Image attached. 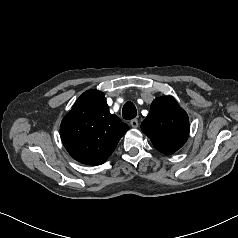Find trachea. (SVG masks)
I'll return each instance as SVG.
<instances>
[{"mask_svg": "<svg viewBox=\"0 0 238 238\" xmlns=\"http://www.w3.org/2000/svg\"><path fill=\"white\" fill-rule=\"evenodd\" d=\"M137 115V109L132 102H126L122 109V116L124 119L130 120Z\"/></svg>", "mask_w": 238, "mask_h": 238, "instance_id": "obj_1", "label": "trachea"}]
</instances>
